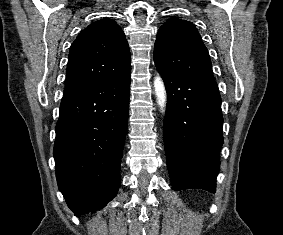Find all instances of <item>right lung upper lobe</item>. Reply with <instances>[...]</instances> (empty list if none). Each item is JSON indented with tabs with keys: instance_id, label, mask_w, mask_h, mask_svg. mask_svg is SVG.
<instances>
[{
	"instance_id": "obj_1",
	"label": "right lung upper lobe",
	"mask_w": 283,
	"mask_h": 235,
	"mask_svg": "<svg viewBox=\"0 0 283 235\" xmlns=\"http://www.w3.org/2000/svg\"><path fill=\"white\" fill-rule=\"evenodd\" d=\"M130 70L129 47L120 26L107 18L95 21L71 45L64 94L117 79Z\"/></svg>"
}]
</instances>
